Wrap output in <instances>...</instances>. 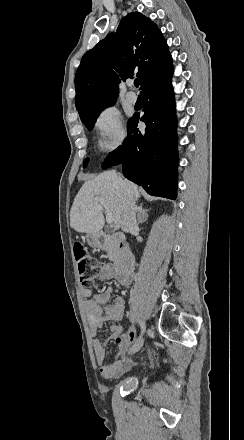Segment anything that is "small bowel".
Returning a JSON list of instances; mask_svg holds the SVG:
<instances>
[{
  "mask_svg": "<svg viewBox=\"0 0 244 440\" xmlns=\"http://www.w3.org/2000/svg\"><path fill=\"white\" fill-rule=\"evenodd\" d=\"M133 271L129 274L127 271L119 268L118 264H106L101 268L99 274L91 280L108 281L114 279L122 286H130L133 282ZM113 289L107 288L103 291L92 294L84 286L80 288V294L83 298V310L87 316L89 330L92 335V346L96 362L99 366L100 374L105 379L119 377L130 370L132 361L127 355L129 348L128 342L133 339L132 331H124L123 326L118 323L111 325V340L116 344V356L113 362L106 363V344L102 343L96 336L97 330L107 321H119L125 313V300L117 295L112 302Z\"/></svg>",
  "mask_w": 244,
  "mask_h": 440,
  "instance_id": "c3829d8e",
  "label": "small bowel"
}]
</instances>
